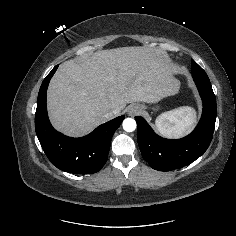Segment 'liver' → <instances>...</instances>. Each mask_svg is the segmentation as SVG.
<instances>
[{
	"label": "liver",
	"instance_id": "obj_1",
	"mask_svg": "<svg viewBox=\"0 0 236 236\" xmlns=\"http://www.w3.org/2000/svg\"><path fill=\"white\" fill-rule=\"evenodd\" d=\"M179 88L166 54L149 47H121L84 54L60 65L47 105L52 125L78 137L120 114L128 103H156ZM116 115V116H117Z\"/></svg>",
	"mask_w": 236,
	"mask_h": 236
}]
</instances>
